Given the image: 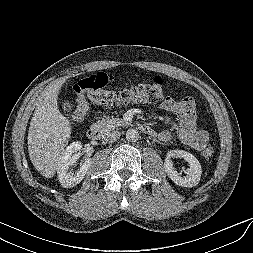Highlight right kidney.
I'll use <instances>...</instances> for the list:
<instances>
[{"instance_id": "right-kidney-1", "label": "right kidney", "mask_w": 253, "mask_h": 253, "mask_svg": "<svg viewBox=\"0 0 253 253\" xmlns=\"http://www.w3.org/2000/svg\"><path fill=\"white\" fill-rule=\"evenodd\" d=\"M81 148V142H73L64 150L60 157L57 166V174L59 182L64 188H71L79 184L92 164V159L87 157L84 159V163L81 164L77 172L72 173L69 171V168L79 159L80 154L77 152L80 151Z\"/></svg>"}]
</instances>
